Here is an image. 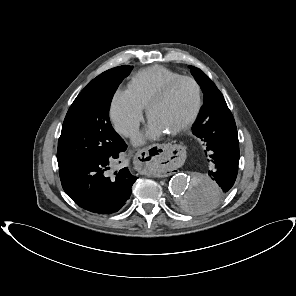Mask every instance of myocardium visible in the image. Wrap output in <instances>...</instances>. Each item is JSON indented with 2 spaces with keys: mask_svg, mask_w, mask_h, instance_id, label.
<instances>
[{
  "mask_svg": "<svg viewBox=\"0 0 296 296\" xmlns=\"http://www.w3.org/2000/svg\"><path fill=\"white\" fill-rule=\"evenodd\" d=\"M183 82H189L191 83L195 89H196V94H197V99H196V105L195 108L190 115V117L181 125L173 129L172 131L168 132L169 135H177L183 131H186L189 129L198 119L200 112L202 110L203 106V90L200 85V83L193 77L189 76H181L173 81H171L169 84H167L158 94H156L147 104L146 106V114L148 119H150L151 112L155 106L158 104L164 102L174 91V89L181 83Z\"/></svg>",
  "mask_w": 296,
  "mask_h": 296,
  "instance_id": "obj_1",
  "label": "myocardium"
}]
</instances>
